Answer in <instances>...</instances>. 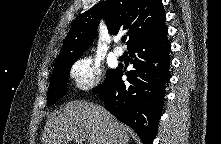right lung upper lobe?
Wrapping results in <instances>:
<instances>
[{"label":"right lung upper lobe","mask_w":221,"mask_h":144,"mask_svg":"<svg viewBox=\"0 0 221 144\" xmlns=\"http://www.w3.org/2000/svg\"><path fill=\"white\" fill-rule=\"evenodd\" d=\"M101 16H104L110 33L128 30V46L159 28L166 18L162 0H107L96 4L76 18L64 40L55 66L75 61L89 48Z\"/></svg>","instance_id":"cb5924a9"}]
</instances>
